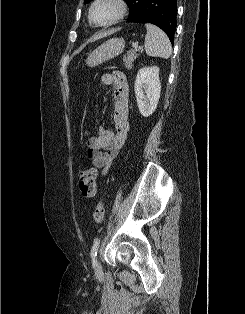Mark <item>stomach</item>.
<instances>
[{
  "label": "stomach",
  "instance_id": "obj_1",
  "mask_svg": "<svg viewBox=\"0 0 245 314\" xmlns=\"http://www.w3.org/2000/svg\"><path fill=\"white\" fill-rule=\"evenodd\" d=\"M124 48L125 41L123 38L109 39L88 55L86 64L89 67H96L120 55Z\"/></svg>",
  "mask_w": 245,
  "mask_h": 314
}]
</instances>
